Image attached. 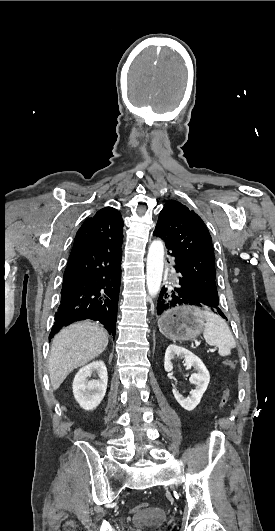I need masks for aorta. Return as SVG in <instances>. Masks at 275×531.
<instances>
[{
    "mask_svg": "<svg viewBox=\"0 0 275 531\" xmlns=\"http://www.w3.org/2000/svg\"><path fill=\"white\" fill-rule=\"evenodd\" d=\"M164 267V245L162 241H153L147 255V291L150 297H156L160 291Z\"/></svg>",
    "mask_w": 275,
    "mask_h": 531,
    "instance_id": "aorta-1",
    "label": "aorta"
}]
</instances>
